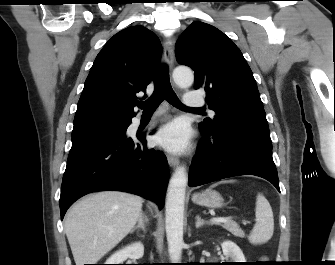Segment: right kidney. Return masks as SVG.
I'll list each match as a JSON object with an SVG mask.
<instances>
[{
  "instance_id": "obj_1",
  "label": "right kidney",
  "mask_w": 335,
  "mask_h": 265,
  "mask_svg": "<svg viewBox=\"0 0 335 265\" xmlns=\"http://www.w3.org/2000/svg\"><path fill=\"white\" fill-rule=\"evenodd\" d=\"M143 255V244L141 242H135L115 252L110 258H108L106 264H123V261L127 260L128 258L136 260L142 258Z\"/></svg>"
}]
</instances>
